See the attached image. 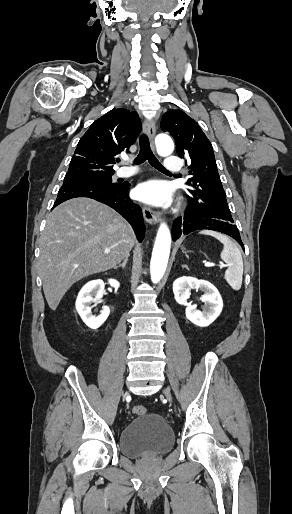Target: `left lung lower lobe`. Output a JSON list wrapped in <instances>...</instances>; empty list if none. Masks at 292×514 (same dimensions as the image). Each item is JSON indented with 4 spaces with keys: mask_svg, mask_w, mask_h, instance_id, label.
I'll return each mask as SVG.
<instances>
[{
    "mask_svg": "<svg viewBox=\"0 0 292 514\" xmlns=\"http://www.w3.org/2000/svg\"><path fill=\"white\" fill-rule=\"evenodd\" d=\"M189 199L183 217L175 219L172 225V239L177 240L181 234L202 229L219 231L234 238L244 249L239 230L234 224L231 213L224 211H207L201 202Z\"/></svg>",
    "mask_w": 292,
    "mask_h": 514,
    "instance_id": "0a47b994",
    "label": "left lung lower lobe"
}]
</instances>
